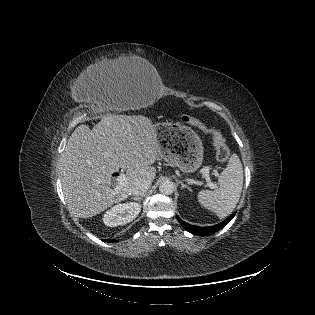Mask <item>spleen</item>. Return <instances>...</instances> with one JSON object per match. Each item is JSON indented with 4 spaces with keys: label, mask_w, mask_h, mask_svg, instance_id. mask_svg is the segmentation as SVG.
<instances>
[{
    "label": "spleen",
    "mask_w": 315,
    "mask_h": 315,
    "mask_svg": "<svg viewBox=\"0 0 315 315\" xmlns=\"http://www.w3.org/2000/svg\"><path fill=\"white\" fill-rule=\"evenodd\" d=\"M218 187L198 193V202L219 218L231 214L239 202L243 187V167L237 154H232L227 167L218 177Z\"/></svg>",
    "instance_id": "3e777b00"
}]
</instances>
